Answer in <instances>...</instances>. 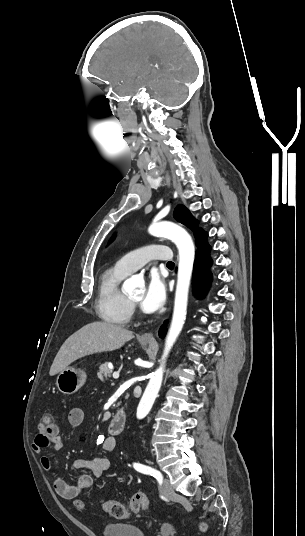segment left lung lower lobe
I'll return each mask as SVG.
<instances>
[{
  "label": "left lung lower lobe",
  "instance_id": "1",
  "mask_svg": "<svg viewBox=\"0 0 305 536\" xmlns=\"http://www.w3.org/2000/svg\"><path fill=\"white\" fill-rule=\"evenodd\" d=\"M208 234L203 232L196 238L198 245V258L194 262V271H193V290L198 297L205 295L212 276L208 273V268L211 266L212 261L209 257L210 246L207 243ZM166 334V329L161 327L159 330V335L163 338Z\"/></svg>",
  "mask_w": 305,
  "mask_h": 536
}]
</instances>
